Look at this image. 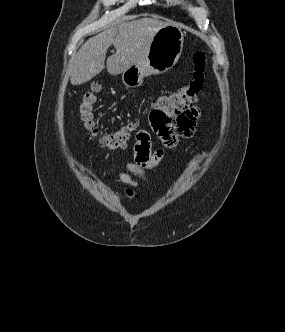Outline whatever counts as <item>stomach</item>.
Returning a JSON list of instances; mask_svg holds the SVG:
<instances>
[{"mask_svg":"<svg viewBox=\"0 0 285 332\" xmlns=\"http://www.w3.org/2000/svg\"><path fill=\"white\" fill-rule=\"evenodd\" d=\"M184 42V32L169 24L156 32L148 51L138 64L132 65L122 73V82L127 88L139 87L149 75L163 74L178 61Z\"/></svg>","mask_w":285,"mask_h":332,"instance_id":"0dacf381","label":"stomach"}]
</instances>
